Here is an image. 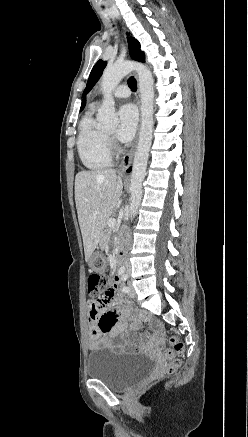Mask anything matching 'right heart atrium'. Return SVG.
<instances>
[{
	"label": "right heart atrium",
	"instance_id": "obj_1",
	"mask_svg": "<svg viewBox=\"0 0 248 437\" xmlns=\"http://www.w3.org/2000/svg\"><path fill=\"white\" fill-rule=\"evenodd\" d=\"M108 142H109V143L111 142V139H110V138H108Z\"/></svg>",
	"mask_w": 248,
	"mask_h": 437
}]
</instances>
